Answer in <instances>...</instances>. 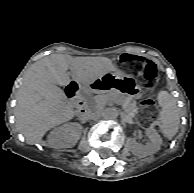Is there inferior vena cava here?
I'll use <instances>...</instances> for the list:
<instances>
[{
	"label": "inferior vena cava",
	"instance_id": "1",
	"mask_svg": "<svg viewBox=\"0 0 194 193\" xmlns=\"http://www.w3.org/2000/svg\"><path fill=\"white\" fill-rule=\"evenodd\" d=\"M97 117V113L96 112H88L85 115V119L86 120H91V119H95Z\"/></svg>",
	"mask_w": 194,
	"mask_h": 193
}]
</instances>
